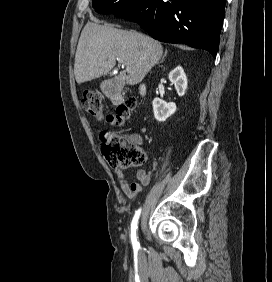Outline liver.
<instances>
[{
    "instance_id": "obj_1",
    "label": "liver",
    "mask_w": 272,
    "mask_h": 282,
    "mask_svg": "<svg viewBox=\"0 0 272 282\" xmlns=\"http://www.w3.org/2000/svg\"><path fill=\"white\" fill-rule=\"evenodd\" d=\"M162 54L161 43L149 36L88 22L77 45L75 79L80 84L106 75L118 60L130 68L120 72L119 79L135 85L158 63Z\"/></svg>"
}]
</instances>
